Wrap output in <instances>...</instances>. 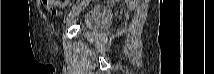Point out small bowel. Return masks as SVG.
Listing matches in <instances>:
<instances>
[{
  "label": "small bowel",
  "mask_w": 214,
  "mask_h": 74,
  "mask_svg": "<svg viewBox=\"0 0 214 74\" xmlns=\"http://www.w3.org/2000/svg\"><path fill=\"white\" fill-rule=\"evenodd\" d=\"M56 4H55V2H53V1H45L44 2V6L47 8V9H51L52 7H54ZM60 14V11H58V10H53L52 11V15L53 16H58Z\"/></svg>",
  "instance_id": "small-bowel-1"
}]
</instances>
